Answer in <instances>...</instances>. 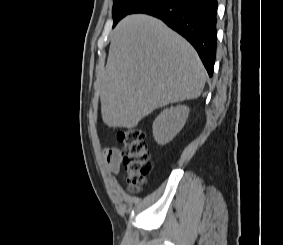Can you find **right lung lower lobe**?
I'll return each mask as SVG.
<instances>
[{"instance_id":"right-lung-lower-lobe-1","label":"right lung lower lobe","mask_w":283,"mask_h":245,"mask_svg":"<svg viewBox=\"0 0 283 245\" xmlns=\"http://www.w3.org/2000/svg\"><path fill=\"white\" fill-rule=\"evenodd\" d=\"M217 0H145L132 13H146L163 20L197 50L209 76L216 54Z\"/></svg>"}]
</instances>
